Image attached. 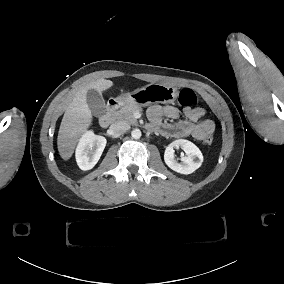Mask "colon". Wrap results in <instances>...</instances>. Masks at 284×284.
<instances>
[{"instance_id": "colon-1", "label": "colon", "mask_w": 284, "mask_h": 284, "mask_svg": "<svg viewBox=\"0 0 284 284\" xmlns=\"http://www.w3.org/2000/svg\"><path fill=\"white\" fill-rule=\"evenodd\" d=\"M177 101L182 106H190L195 101V94L190 89H182L177 94ZM206 143H211L213 141V138L207 137Z\"/></svg>"}]
</instances>
